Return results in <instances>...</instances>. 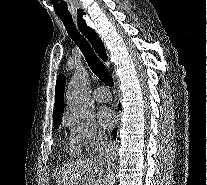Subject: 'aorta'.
Here are the masks:
<instances>
[{
    "mask_svg": "<svg viewBox=\"0 0 207 185\" xmlns=\"http://www.w3.org/2000/svg\"><path fill=\"white\" fill-rule=\"evenodd\" d=\"M88 72L84 67H77L67 86L66 100L68 108L79 115L89 109L88 99Z\"/></svg>",
    "mask_w": 207,
    "mask_h": 185,
    "instance_id": "obj_1",
    "label": "aorta"
}]
</instances>
